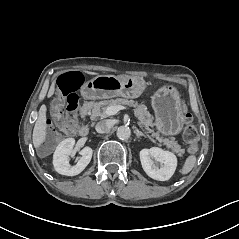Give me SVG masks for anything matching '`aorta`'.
Listing matches in <instances>:
<instances>
[{
	"mask_svg": "<svg viewBox=\"0 0 239 239\" xmlns=\"http://www.w3.org/2000/svg\"><path fill=\"white\" fill-rule=\"evenodd\" d=\"M116 136L119 138V139H122V140H127L130 138L131 136V130L129 127L127 126H120L117 131H116Z\"/></svg>",
	"mask_w": 239,
	"mask_h": 239,
	"instance_id": "762f6f07",
	"label": "aorta"
}]
</instances>
